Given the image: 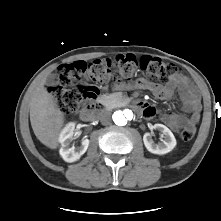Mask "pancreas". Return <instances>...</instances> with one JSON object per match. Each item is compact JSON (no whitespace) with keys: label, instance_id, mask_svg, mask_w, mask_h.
Instances as JSON below:
<instances>
[{"label":"pancreas","instance_id":"cf45deb5","mask_svg":"<svg viewBox=\"0 0 221 221\" xmlns=\"http://www.w3.org/2000/svg\"><path fill=\"white\" fill-rule=\"evenodd\" d=\"M102 103L107 107L114 108L121 103V100L117 94H108L102 96Z\"/></svg>","mask_w":221,"mask_h":221}]
</instances>
